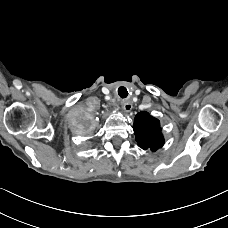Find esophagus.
Returning <instances> with one entry per match:
<instances>
[{
	"label": "esophagus",
	"mask_w": 228,
	"mask_h": 228,
	"mask_svg": "<svg viewBox=\"0 0 228 228\" xmlns=\"http://www.w3.org/2000/svg\"><path fill=\"white\" fill-rule=\"evenodd\" d=\"M121 105H122V109L124 112L128 113L132 110V103L127 100V99H124L121 101Z\"/></svg>",
	"instance_id": "obj_1"
}]
</instances>
